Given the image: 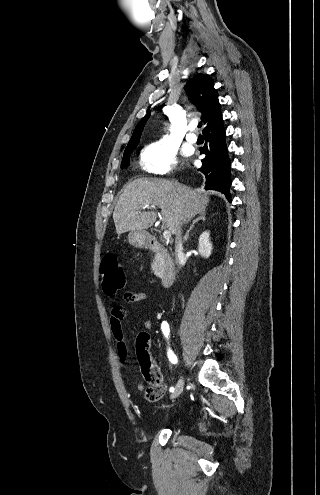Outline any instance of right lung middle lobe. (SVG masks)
<instances>
[{
    "mask_svg": "<svg viewBox=\"0 0 320 495\" xmlns=\"http://www.w3.org/2000/svg\"><path fill=\"white\" fill-rule=\"evenodd\" d=\"M134 149H135V147L134 148H130V149L124 151V155H123V160H122V163H121V167H127V166H129V158H130V155H131V153L133 152Z\"/></svg>",
    "mask_w": 320,
    "mask_h": 495,
    "instance_id": "1",
    "label": "right lung middle lobe"
}]
</instances>
